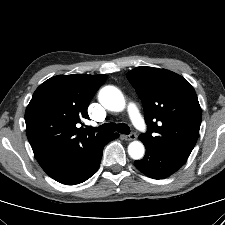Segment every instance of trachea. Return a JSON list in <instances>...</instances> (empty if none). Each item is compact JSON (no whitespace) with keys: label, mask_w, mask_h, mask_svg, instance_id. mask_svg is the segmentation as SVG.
Returning <instances> with one entry per match:
<instances>
[{"label":"trachea","mask_w":225,"mask_h":225,"mask_svg":"<svg viewBox=\"0 0 225 225\" xmlns=\"http://www.w3.org/2000/svg\"><path fill=\"white\" fill-rule=\"evenodd\" d=\"M90 131L93 132H114L117 131L122 134H129L130 128L125 123L115 124V123H106L99 127H90Z\"/></svg>","instance_id":"obj_1"}]
</instances>
